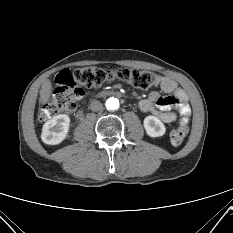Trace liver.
<instances>
[{
  "label": "liver",
  "instance_id": "obj_1",
  "mask_svg": "<svg viewBox=\"0 0 233 233\" xmlns=\"http://www.w3.org/2000/svg\"><path fill=\"white\" fill-rule=\"evenodd\" d=\"M52 92V83L49 79H46L40 89L39 103L45 104L49 101Z\"/></svg>",
  "mask_w": 233,
  "mask_h": 233
}]
</instances>
